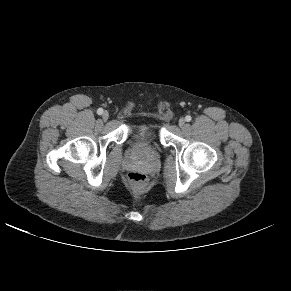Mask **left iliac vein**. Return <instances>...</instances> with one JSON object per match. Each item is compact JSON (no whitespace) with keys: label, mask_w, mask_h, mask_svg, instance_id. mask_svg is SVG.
Here are the masks:
<instances>
[{"label":"left iliac vein","mask_w":291,"mask_h":291,"mask_svg":"<svg viewBox=\"0 0 291 291\" xmlns=\"http://www.w3.org/2000/svg\"><path fill=\"white\" fill-rule=\"evenodd\" d=\"M185 125H186L185 119H184V118H180V119H179V126H180L181 128H184Z\"/></svg>","instance_id":"left-iliac-vein-1"}]
</instances>
